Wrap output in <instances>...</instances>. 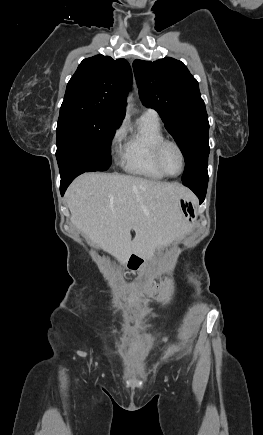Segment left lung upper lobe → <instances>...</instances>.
<instances>
[{
    "label": "left lung upper lobe",
    "mask_w": 263,
    "mask_h": 435,
    "mask_svg": "<svg viewBox=\"0 0 263 435\" xmlns=\"http://www.w3.org/2000/svg\"><path fill=\"white\" fill-rule=\"evenodd\" d=\"M142 103L155 109L185 159L182 180L207 170L209 122L197 80L186 66L166 57L154 62L134 60Z\"/></svg>",
    "instance_id": "5c2ea615"
}]
</instances>
